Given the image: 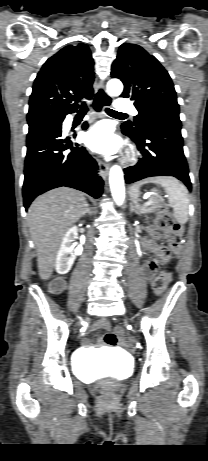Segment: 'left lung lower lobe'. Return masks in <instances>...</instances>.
Wrapping results in <instances>:
<instances>
[{
  "label": "left lung lower lobe",
  "instance_id": "left-lung-lower-lobe-1",
  "mask_svg": "<svg viewBox=\"0 0 208 461\" xmlns=\"http://www.w3.org/2000/svg\"><path fill=\"white\" fill-rule=\"evenodd\" d=\"M123 133L138 144L141 156L136 165L124 169L126 183L154 176H173L192 189L179 119L156 118L137 133Z\"/></svg>",
  "mask_w": 208,
  "mask_h": 461
}]
</instances>
